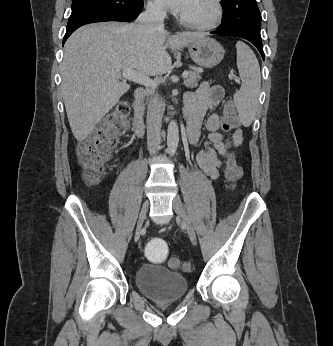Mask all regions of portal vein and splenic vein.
Returning <instances> with one entry per match:
<instances>
[{
	"label": "portal vein and splenic vein",
	"mask_w": 333,
	"mask_h": 346,
	"mask_svg": "<svg viewBox=\"0 0 333 346\" xmlns=\"http://www.w3.org/2000/svg\"><path fill=\"white\" fill-rule=\"evenodd\" d=\"M188 75H189L188 72H183L182 74L183 79H186ZM122 77L130 81H133L135 83H138L140 85H143L145 87H150V88L157 87V83L154 82L152 79H150L148 76L141 74L130 68L124 69L122 71Z\"/></svg>",
	"instance_id": "1"
}]
</instances>
